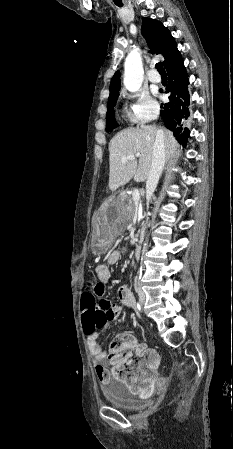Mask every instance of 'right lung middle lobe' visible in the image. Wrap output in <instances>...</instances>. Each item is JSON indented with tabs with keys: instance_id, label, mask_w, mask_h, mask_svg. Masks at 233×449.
I'll return each mask as SVG.
<instances>
[{
	"instance_id": "dd1d6c3e",
	"label": "right lung middle lobe",
	"mask_w": 233,
	"mask_h": 449,
	"mask_svg": "<svg viewBox=\"0 0 233 449\" xmlns=\"http://www.w3.org/2000/svg\"><path fill=\"white\" fill-rule=\"evenodd\" d=\"M118 96H119V94H116L114 96L109 97V99H108V108H107V116H106V131H111L117 126L113 108L116 104Z\"/></svg>"
}]
</instances>
